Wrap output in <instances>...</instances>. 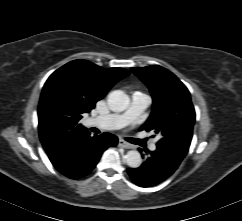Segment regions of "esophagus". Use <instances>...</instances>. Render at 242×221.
I'll return each instance as SVG.
<instances>
[{"instance_id": "esophagus-1", "label": "esophagus", "mask_w": 242, "mask_h": 221, "mask_svg": "<svg viewBox=\"0 0 242 221\" xmlns=\"http://www.w3.org/2000/svg\"><path fill=\"white\" fill-rule=\"evenodd\" d=\"M118 144H119L120 147H123V148H126V149H131V148H133V146H132L131 144L125 142V141L122 140V139L119 140V143H118Z\"/></svg>"}]
</instances>
